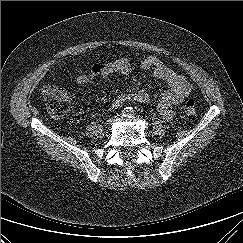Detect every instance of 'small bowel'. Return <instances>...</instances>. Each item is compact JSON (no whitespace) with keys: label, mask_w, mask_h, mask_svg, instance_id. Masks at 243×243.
Instances as JSON below:
<instances>
[{"label":"small bowel","mask_w":243,"mask_h":243,"mask_svg":"<svg viewBox=\"0 0 243 243\" xmlns=\"http://www.w3.org/2000/svg\"><path fill=\"white\" fill-rule=\"evenodd\" d=\"M136 66L142 70H150L154 77L167 84V89L161 94L157 107L160 114L165 119L171 120L174 117L173 106L181 103L191 93L192 85L185 76L170 69L155 56H147L137 65L127 58L95 63L88 73L78 75L76 82L79 85H85L94 82L96 79H107L114 74L127 75L130 74ZM130 101L147 105L150 103L151 98L147 91L143 89L126 93L120 95L110 105V110H116L122 104Z\"/></svg>","instance_id":"1"}]
</instances>
